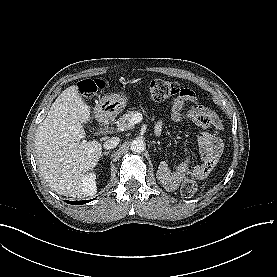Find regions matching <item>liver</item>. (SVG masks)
<instances>
[{
	"mask_svg": "<svg viewBox=\"0 0 277 277\" xmlns=\"http://www.w3.org/2000/svg\"><path fill=\"white\" fill-rule=\"evenodd\" d=\"M90 114V106L72 85L57 97L36 131L37 164L49 187L59 195H88L82 190V179L102 154L100 142L84 140L82 124L92 119Z\"/></svg>",
	"mask_w": 277,
	"mask_h": 277,
	"instance_id": "liver-1",
	"label": "liver"
}]
</instances>
